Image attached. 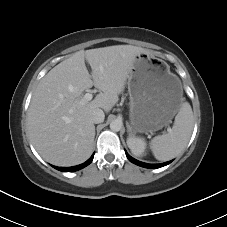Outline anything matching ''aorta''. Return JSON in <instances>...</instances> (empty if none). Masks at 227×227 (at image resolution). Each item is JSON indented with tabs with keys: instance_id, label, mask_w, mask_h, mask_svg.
I'll return each instance as SVG.
<instances>
[{
	"instance_id": "obj_1",
	"label": "aorta",
	"mask_w": 227,
	"mask_h": 227,
	"mask_svg": "<svg viewBox=\"0 0 227 227\" xmlns=\"http://www.w3.org/2000/svg\"><path fill=\"white\" fill-rule=\"evenodd\" d=\"M122 128V122L120 120H113L110 123V129L114 132L120 131Z\"/></svg>"
}]
</instances>
